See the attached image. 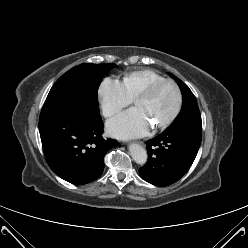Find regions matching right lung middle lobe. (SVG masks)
<instances>
[{
	"label": "right lung middle lobe",
	"mask_w": 248,
	"mask_h": 248,
	"mask_svg": "<svg viewBox=\"0 0 248 248\" xmlns=\"http://www.w3.org/2000/svg\"><path fill=\"white\" fill-rule=\"evenodd\" d=\"M114 67L115 64H81L66 72L51 88L39 120L81 106L98 107V87Z\"/></svg>",
	"instance_id": "right-lung-middle-lobe-1"
}]
</instances>
